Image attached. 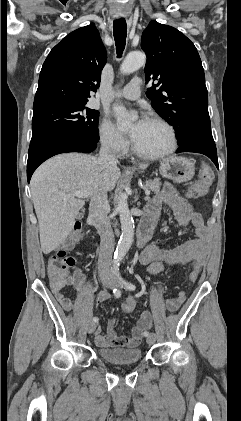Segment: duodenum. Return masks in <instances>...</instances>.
Returning <instances> with one entry per match:
<instances>
[{
    "mask_svg": "<svg viewBox=\"0 0 241 421\" xmlns=\"http://www.w3.org/2000/svg\"><path fill=\"white\" fill-rule=\"evenodd\" d=\"M156 218L154 216L146 215L140 223L137 232V242L139 246H143L150 238L152 229L154 227Z\"/></svg>",
    "mask_w": 241,
    "mask_h": 421,
    "instance_id": "obj_1",
    "label": "duodenum"
}]
</instances>
